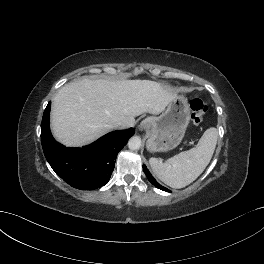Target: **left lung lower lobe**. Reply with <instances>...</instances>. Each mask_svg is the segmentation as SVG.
Wrapping results in <instances>:
<instances>
[{"label": "left lung lower lobe", "instance_id": "0a47b994", "mask_svg": "<svg viewBox=\"0 0 264 264\" xmlns=\"http://www.w3.org/2000/svg\"><path fill=\"white\" fill-rule=\"evenodd\" d=\"M143 170L148 178V180L150 181L151 184H153L155 187L163 190V191H167L170 192V190H168L167 188L161 186L155 179L154 177L151 175V173L149 172V170L146 168L145 165H143Z\"/></svg>", "mask_w": 264, "mask_h": 264}]
</instances>
